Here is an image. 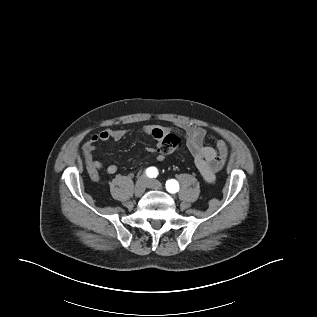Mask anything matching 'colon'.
Here are the masks:
<instances>
[{
  "label": "colon",
  "instance_id": "colon-1",
  "mask_svg": "<svg viewBox=\"0 0 317 317\" xmlns=\"http://www.w3.org/2000/svg\"><path fill=\"white\" fill-rule=\"evenodd\" d=\"M181 145L182 141L180 137L176 134L170 133L165 135V137L160 141L158 150L162 154L167 155L179 149Z\"/></svg>",
  "mask_w": 317,
  "mask_h": 317
}]
</instances>
